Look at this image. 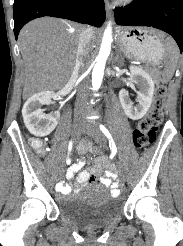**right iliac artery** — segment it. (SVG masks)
Listing matches in <instances>:
<instances>
[{"label": "right iliac artery", "instance_id": "obj_1", "mask_svg": "<svg viewBox=\"0 0 183 246\" xmlns=\"http://www.w3.org/2000/svg\"><path fill=\"white\" fill-rule=\"evenodd\" d=\"M69 151H71V149H72V142L70 141L69 142ZM56 189H59V185H56Z\"/></svg>", "mask_w": 183, "mask_h": 246}]
</instances>
